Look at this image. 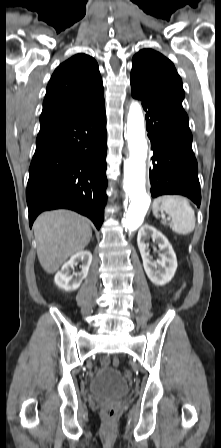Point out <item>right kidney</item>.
I'll use <instances>...</instances> for the list:
<instances>
[{
    "label": "right kidney",
    "instance_id": "ca27d5eb",
    "mask_svg": "<svg viewBox=\"0 0 221 448\" xmlns=\"http://www.w3.org/2000/svg\"><path fill=\"white\" fill-rule=\"evenodd\" d=\"M79 262L82 263L80 266L81 271L71 275L70 268H73L74 265H77ZM91 262L92 254L90 251L86 250L75 253L55 275V284L65 291L76 290L87 277ZM74 276L75 278H73Z\"/></svg>",
    "mask_w": 221,
    "mask_h": 448
}]
</instances>
